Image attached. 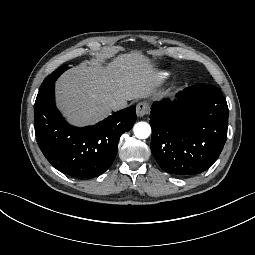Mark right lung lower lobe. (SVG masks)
Masks as SVG:
<instances>
[{"mask_svg":"<svg viewBox=\"0 0 255 255\" xmlns=\"http://www.w3.org/2000/svg\"><path fill=\"white\" fill-rule=\"evenodd\" d=\"M136 121L135 106L90 127H72L56 109L54 84L40 89L34 105L37 143L59 171L76 178L104 173L113 163L120 136Z\"/></svg>","mask_w":255,"mask_h":255,"instance_id":"right-lung-lower-lobe-1","label":"right lung lower lobe"}]
</instances>
